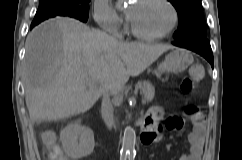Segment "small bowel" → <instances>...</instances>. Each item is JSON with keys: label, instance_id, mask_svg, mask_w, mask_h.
<instances>
[{"label": "small bowel", "instance_id": "c3829d8e", "mask_svg": "<svg viewBox=\"0 0 242 160\" xmlns=\"http://www.w3.org/2000/svg\"><path fill=\"white\" fill-rule=\"evenodd\" d=\"M195 119L194 130L189 134L190 152L182 155L179 160H201L204 145V121L197 115L193 116ZM144 126L142 128L141 142L143 144H153L161 141V131L163 127L156 130V117L154 115H147L144 118ZM184 121L179 116L169 117L164 124V128L169 131L179 132L183 129ZM53 134V133H51ZM64 160H69L64 158Z\"/></svg>", "mask_w": 242, "mask_h": 160}]
</instances>
